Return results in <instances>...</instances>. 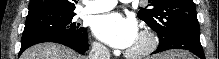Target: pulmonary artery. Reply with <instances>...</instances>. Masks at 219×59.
<instances>
[{"label": "pulmonary artery", "mask_w": 219, "mask_h": 59, "mask_svg": "<svg viewBox=\"0 0 219 59\" xmlns=\"http://www.w3.org/2000/svg\"><path fill=\"white\" fill-rule=\"evenodd\" d=\"M116 0H93L83 8L84 13H101L111 10L115 4Z\"/></svg>", "instance_id": "e3ab8cb5"}]
</instances>
